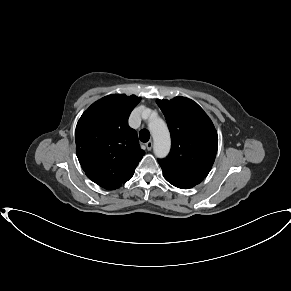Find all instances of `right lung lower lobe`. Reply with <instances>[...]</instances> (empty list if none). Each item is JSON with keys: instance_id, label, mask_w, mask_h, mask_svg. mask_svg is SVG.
Masks as SVG:
<instances>
[{"instance_id": "right-lung-lower-lobe-1", "label": "right lung lower lobe", "mask_w": 291, "mask_h": 291, "mask_svg": "<svg viewBox=\"0 0 291 291\" xmlns=\"http://www.w3.org/2000/svg\"><path fill=\"white\" fill-rule=\"evenodd\" d=\"M124 183H122V184H124ZM122 184H109V185H104V186H101V187H103L105 189H108V190H112V189L119 188Z\"/></svg>"}]
</instances>
